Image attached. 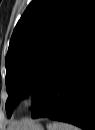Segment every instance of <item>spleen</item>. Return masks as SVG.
<instances>
[{
  "instance_id": "obj_1",
  "label": "spleen",
  "mask_w": 95,
  "mask_h": 130,
  "mask_svg": "<svg viewBox=\"0 0 95 130\" xmlns=\"http://www.w3.org/2000/svg\"><path fill=\"white\" fill-rule=\"evenodd\" d=\"M47 130H80V129L68 123L53 121L47 125Z\"/></svg>"
}]
</instances>
